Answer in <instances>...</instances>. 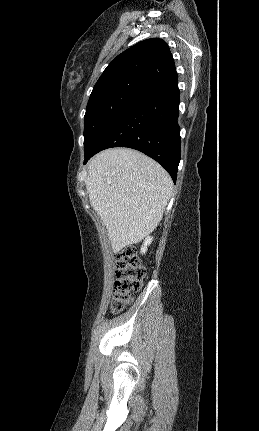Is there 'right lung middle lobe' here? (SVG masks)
I'll use <instances>...</instances> for the list:
<instances>
[{
    "instance_id": "dd1d6c3e",
    "label": "right lung middle lobe",
    "mask_w": 259,
    "mask_h": 431,
    "mask_svg": "<svg viewBox=\"0 0 259 431\" xmlns=\"http://www.w3.org/2000/svg\"><path fill=\"white\" fill-rule=\"evenodd\" d=\"M150 88L139 81H129L90 95L84 122V150L87 153L100 135Z\"/></svg>"
}]
</instances>
